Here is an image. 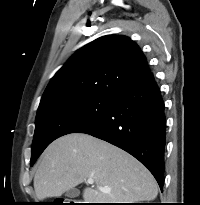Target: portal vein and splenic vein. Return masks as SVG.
Returning a JSON list of instances; mask_svg holds the SVG:
<instances>
[{
	"label": "portal vein and splenic vein",
	"instance_id": "1",
	"mask_svg": "<svg viewBox=\"0 0 200 205\" xmlns=\"http://www.w3.org/2000/svg\"><path fill=\"white\" fill-rule=\"evenodd\" d=\"M87 183L92 185V184H94V181H93V179H88ZM99 189L101 191H105V192L110 191V188H107V187H99Z\"/></svg>",
	"mask_w": 200,
	"mask_h": 205
}]
</instances>
